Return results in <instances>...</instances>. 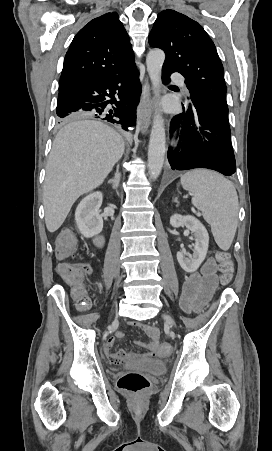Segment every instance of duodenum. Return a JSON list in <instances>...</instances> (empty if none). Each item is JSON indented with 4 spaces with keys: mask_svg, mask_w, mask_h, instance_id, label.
<instances>
[{
    "mask_svg": "<svg viewBox=\"0 0 272 451\" xmlns=\"http://www.w3.org/2000/svg\"><path fill=\"white\" fill-rule=\"evenodd\" d=\"M94 242L98 247H101L103 245V238L101 236H99V237L95 238Z\"/></svg>",
    "mask_w": 272,
    "mask_h": 451,
    "instance_id": "duodenum-1",
    "label": "duodenum"
}]
</instances>
